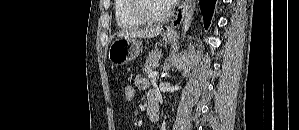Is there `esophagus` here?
<instances>
[{
  "mask_svg": "<svg viewBox=\"0 0 299 130\" xmlns=\"http://www.w3.org/2000/svg\"><path fill=\"white\" fill-rule=\"evenodd\" d=\"M189 0H183L179 6L177 14L174 20L171 22L170 26L167 28L168 33H173L174 29L177 28L183 21L184 12Z\"/></svg>",
  "mask_w": 299,
  "mask_h": 130,
  "instance_id": "esophagus-1",
  "label": "esophagus"
}]
</instances>
